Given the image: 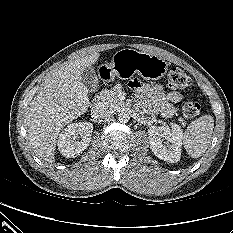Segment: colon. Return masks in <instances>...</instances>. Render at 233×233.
Instances as JSON below:
<instances>
[{
    "label": "colon",
    "mask_w": 233,
    "mask_h": 233,
    "mask_svg": "<svg viewBox=\"0 0 233 233\" xmlns=\"http://www.w3.org/2000/svg\"><path fill=\"white\" fill-rule=\"evenodd\" d=\"M192 83L191 78L181 69L172 68L168 74V86L172 89H185ZM201 112L197 101L188 100L182 105V114L187 119L196 118Z\"/></svg>",
    "instance_id": "5ec220e1"
}]
</instances>
